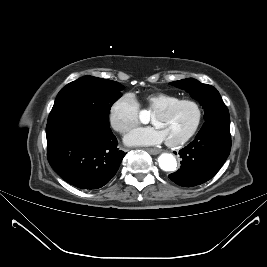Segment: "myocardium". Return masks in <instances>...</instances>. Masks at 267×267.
<instances>
[{
  "label": "myocardium",
  "mask_w": 267,
  "mask_h": 267,
  "mask_svg": "<svg viewBox=\"0 0 267 267\" xmlns=\"http://www.w3.org/2000/svg\"><path fill=\"white\" fill-rule=\"evenodd\" d=\"M185 103H189L192 104L195 109H196V119L195 122L193 124V126L191 127V129L181 138L176 139V140H166V144L168 146H172V147H176V146H180L184 143H186L188 140H190L194 134L197 132V130L200 127V124L202 122L203 119V109L201 104L191 98H183V99H178L172 103H169L161 108H158L157 110L154 111V114L156 115H162V114H167L170 111H172L174 108H176L177 106L181 105V104H185Z\"/></svg>",
  "instance_id": "f54148a6"
}]
</instances>
